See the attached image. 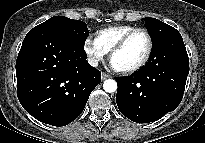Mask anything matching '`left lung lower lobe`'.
Returning <instances> with one entry per match:
<instances>
[{
    "label": "left lung lower lobe",
    "mask_w": 205,
    "mask_h": 143,
    "mask_svg": "<svg viewBox=\"0 0 205 143\" xmlns=\"http://www.w3.org/2000/svg\"><path fill=\"white\" fill-rule=\"evenodd\" d=\"M149 66L132 76L116 78V102L120 112L137 123H149L173 111L180 104L189 59L179 32L153 46Z\"/></svg>",
    "instance_id": "obj_1"
}]
</instances>
